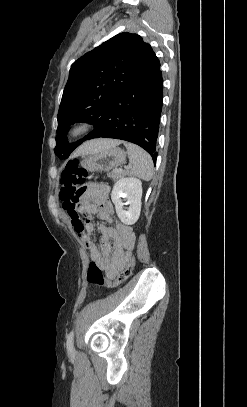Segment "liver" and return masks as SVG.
<instances>
[{"mask_svg": "<svg viewBox=\"0 0 247 407\" xmlns=\"http://www.w3.org/2000/svg\"><path fill=\"white\" fill-rule=\"evenodd\" d=\"M121 143L120 140L113 139H97L84 143L80 146L74 154V157L81 155H88L103 149L116 147Z\"/></svg>", "mask_w": 247, "mask_h": 407, "instance_id": "liver-1", "label": "liver"}]
</instances>
